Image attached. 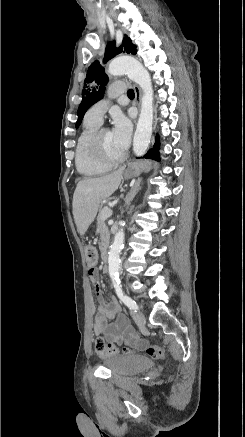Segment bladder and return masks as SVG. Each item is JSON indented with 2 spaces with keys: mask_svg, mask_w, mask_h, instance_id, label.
Masks as SVG:
<instances>
[{
  "mask_svg": "<svg viewBox=\"0 0 245 437\" xmlns=\"http://www.w3.org/2000/svg\"><path fill=\"white\" fill-rule=\"evenodd\" d=\"M104 365L115 376H128L138 373L152 365V361L141 355H106Z\"/></svg>",
  "mask_w": 245,
  "mask_h": 437,
  "instance_id": "1",
  "label": "bladder"
}]
</instances>
